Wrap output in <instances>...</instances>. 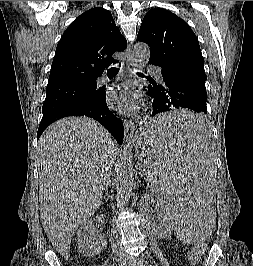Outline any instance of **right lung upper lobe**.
<instances>
[{
  "label": "right lung upper lobe",
  "mask_w": 253,
  "mask_h": 266,
  "mask_svg": "<svg viewBox=\"0 0 253 266\" xmlns=\"http://www.w3.org/2000/svg\"><path fill=\"white\" fill-rule=\"evenodd\" d=\"M126 46L127 41L108 10L97 7L86 11L63 33L47 87L96 80L108 65L117 62L113 53Z\"/></svg>",
  "instance_id": "right-lung-upper-lobe-1"
}]
</instances>
